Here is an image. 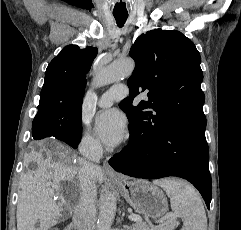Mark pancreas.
I'll return each mask as SVG.
<instances>
[{
  "label": "pancreas",
  "instance_id": "pancreas-1",
  "mask_svg": "<svg viewBox=\"0 0 241 230\" xmlns=\"http://www.w3.org/2000/svg\"><path fill=\"white\" fill-rule=\"evenodd\" d=\"M178 222L174 219L167 220L159 226H150L146 222L138 221L133 225L132 230H174Z\"/></svg>",
  "mask_w": 241,
  "mask_h": 230
}]
</instances>
